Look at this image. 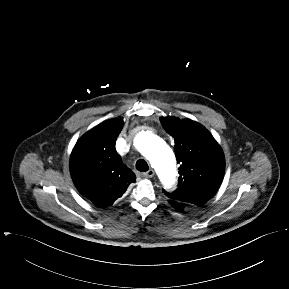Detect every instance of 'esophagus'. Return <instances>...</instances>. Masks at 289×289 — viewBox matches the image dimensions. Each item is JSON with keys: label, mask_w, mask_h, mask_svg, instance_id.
I'll return each mask as SVG.
<instances>
[{"label": "esophagus", "mask_w": 289, "mask_h": 289, "mask_svg": "<svg viewBox=\"0 0 289 289\" xmlns=\"http://www.w3.org/2000/svg\"><path fill=\"white\" fill-rule=\"evenodd\" d=\"M155 172L153 169L148 170L147 172L143 173V176L146 178H152L154 176Z\"/></svg>", "instance_id": "1"}]
</instances>
